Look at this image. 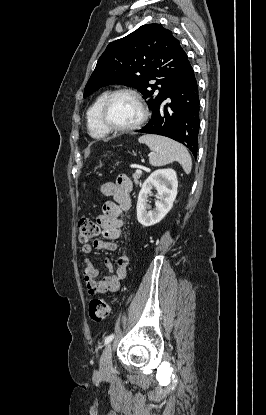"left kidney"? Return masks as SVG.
Returning <instances> with one entry per match:
<instances>
[{
	"label": "left kidney",
	"instance_id": "obj_1",
	"mask_svg": "<svg viewBox=\"0 0 266 415\" xmlns=\"http://www.w3.org/2000/svg\"><path fill=\"white\" fill-rule=\"evenodd\" d=\"M156 188L155 209L150 210L148 197ZM177 174L173 169H158L143 183L137 201V220L145 227L159 223L171 210L177 196Z\"/></svg>",
	"mask_w": 266,
	"mask_h": 415
}]
</instances>
